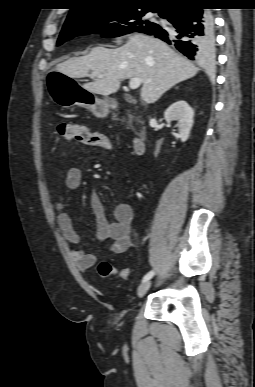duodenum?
<instances>
[{"instance_id": "obj_1", "label": "duodenum", "mask_w": 255, "mask_h": 387, "mask_svg": "<svg viewBox=\"0 0 255 387\" xmlns=\"http://www.w3.org/2000/svg\"><path fill=\"white\" fill-rule=\"evenodd\" d=\"M133 152L136 155H141L144 152V142L141 136L136 137L133 141Z\"/></svg>"}]
</instances>
